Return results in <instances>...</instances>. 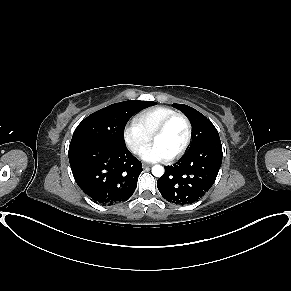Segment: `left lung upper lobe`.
Masks as SVG:
<instances>
[{"label": "left lung upper lobe", "mask_w": 291, "mask_h": 291, "mask_svg": "<svg viewBox=\"0 0 291 291\" xmlns=\"http://www.w3.org/2000/svg\"><path fill=\"white\" fill-rule=\"evenodd\" d=\"M172 106L182 111L191 122L193 137L188 151L209 141L220 140L217 129L203 114L184 104H172Z\"/></svg>", "instance_id": "obj_1"}]
</instances>
